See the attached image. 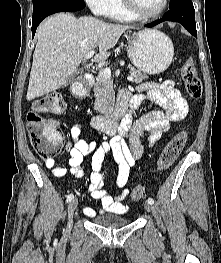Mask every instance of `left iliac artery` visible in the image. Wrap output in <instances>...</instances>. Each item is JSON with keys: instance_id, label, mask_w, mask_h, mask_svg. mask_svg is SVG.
<instances>
[{"instance_id": "1", "label": "left iliac artery", "mask_w": 221, "mask_h": 263, "mask_svg": "<svg viewBox=\"0 0 221 263\" xmlns=\"http://www.w3.org/2000/svg\"><path fill=\"white\" fill-rule=\"evenodd\" d=\"M148 202H149L150 204H154V200H153L152 198H148Z\"/></svg>"}]
</instances>
